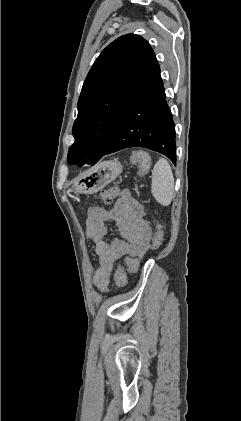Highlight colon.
Wrapping results in <instances>:
<instances>
[{
    "label": "colon",
    "mask_w": 241,
    "mask_h": 421,
    "mask_svg": "<svg viewBox=\"0 0 241 421\" xmlns=\"http://www.w3.org/2000/svg\"><path fill=\"white\" fill-rule=\"evenodd\" d=\"M133 164H136L139 167L140 173L144 174L148 171L150 167V157L148 154L142 151L134 152L130 158ZM119 194L117 187H111L106 190H103L100 194V199L103 203H111ZM163 242V230L160 226L157 227L156 232L151 241V248L156 249L160 247ZM138 259L135 257H126L124 259L123 265L118 266L114 273V280L116 285L124 289L127 285V275L125 268L130 272H135L138 269Z\"/></svg>",
    "instance_id": "1"
}]
</instances>
